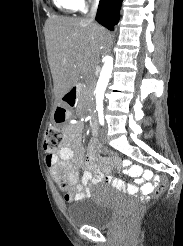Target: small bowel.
Here are the masks:
<instances>
[{"mask_svg": "<svg viewBox=\"0 0 183 246\" xmlns=\"http://www.w3.org/2000/svg\"><path fill=\"white\" fill-rule=\"evenodd\" d=\"M91 131L95 136L98 134L96 124L92 125ZM66 134L67 138L62 147L54 153L47 154L46 164L55 179L64 177L69 181L76 182L77 192L73 196L75 200L86 198L89 195L88 187L99 182H107L127 194H136L141 191L144 195L149 194L153 189L151 183H146V179H150V182H161L160 174H152V170H144V167H134L132 162L123 160L121 167L130 175L132 183H134L125 184L122 180L113 178L109 170L101 166L97 157L98 151H88L84 169L79 179H77V168L85 158L84 148L78 131L69 128L66 130ZM93 171H96L95 175H93Z\"/></svg>", "mask_w": 183, "mask_h": 246, "instance_id": "1", "label": "small bowel"}]
</instances>
